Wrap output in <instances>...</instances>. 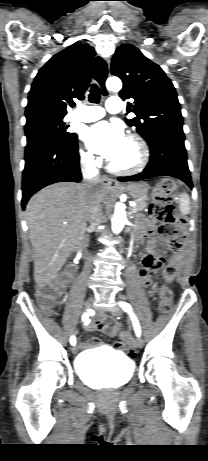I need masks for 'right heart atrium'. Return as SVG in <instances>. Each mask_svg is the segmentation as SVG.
Segmentation results:
<instances>
[{
  "label": "right heart atrium",
  "mask_w": 208,
  "mask_h": 461,
  "mask_svg": "<svg viewBox=\"0 0 208 461\" xmlns=\"http://www.w3.org/2000/svg\"><path fill=\"white\" fill-rule=\"evenodd\" d=\"M80 160L82 165L86 167H94L97 163L95 156L88 150L80 151Z\"/></svg>",
  "instance_id": "1"
}]
</instances>
